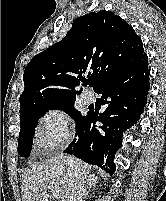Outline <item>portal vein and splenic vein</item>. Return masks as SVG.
<instances>
[{
    "mask_svg": "<svg viewBox=\"0 0 166 201\" xmlns=\"http://www.w3.org/2000/svg\"><path fill=\"white\" fill-rule=\"evenodd\" d=\"M53 196H54L55 198H58V197H59V194L56 193V192H53ZM46 201H47V200H46Z\"/></svg>",
    "mask_w": 166,
    "mask_h": 201,
    "instance_id": "1",
    "label": "portal vein and splenic vein"
}]
</instances>
